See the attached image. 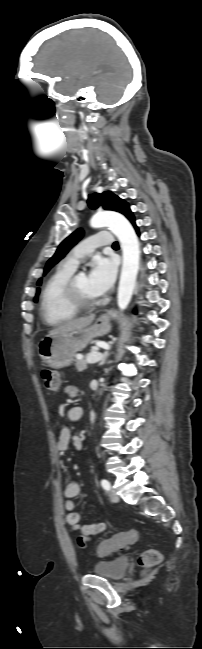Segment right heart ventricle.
Listing matches in <instances>:
<instances>
[{
  "label": "right heart ventricle",
  "mask_w": 202,
  "mask_h": 649,
  "mask_svg": "<svg viewBox=\"0 0 202 649\" xmlns=\"http://www.w3.org/2000/svg\"><path fill=\"white\" fill-rule=\"evenodd\" d=\"M75 268L63 263L47 280L41 296V311L50 325H58L77 316L75 309L65 296V286L74 274Z\"/></svg>",
  "instance_id": "right-heart-ventricle-1"
}]
</instances>
